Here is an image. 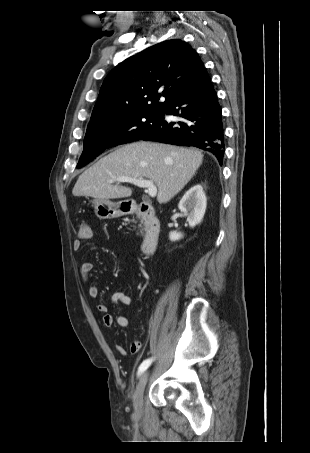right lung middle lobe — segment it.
Listing matches in <instances>:
<instances>
[{
    "instance_id": "dd1d6c3e",
    "label": "right lung middle lobe",
    "mask_w": 310,
    "mask_h": 453,
    "mask_svg": "<svg viewBox=\"0 0 310 453\" xmlns=\"http://www.w3.org/2000/svg\"><path fill=\"white\" fill-rule=\"evenodd\" d=\"M162 110L134 111L91 123L77 168L92 161L106 148L140 140L162 120Z\"/></svg>"
}]
</instances>
